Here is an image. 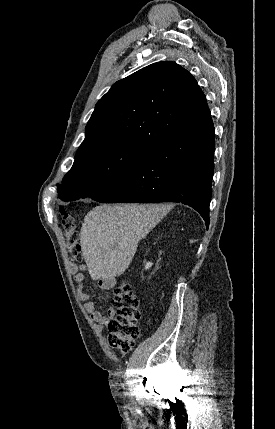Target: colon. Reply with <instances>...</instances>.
<instances>
[{
    "label": "colon",
    "instance_id": "5ec220e1",
    "mask_svg": "<svg viewBox=\"0 0 275 429\" xmlns=\"http://www.w3.org/2000/svg\"><path fill=\"white\" fill-rule=\"evenodd\" d=\"M62 225L68 239V256L72 263L82 260V250L76 233L74 217L60 210ZM116 317L109 323V345L122 353L132 350L139 336L138 320L140 318L139 302L131 285L123 281L114 288L112 300Z\"/></svg>",
    "mask_w": 275,
    "mask_h": 429
}]
</instances>
